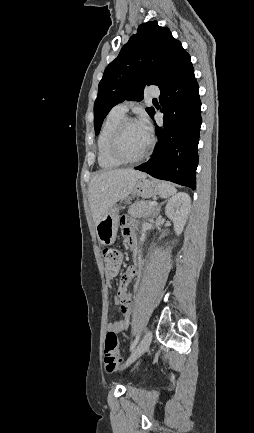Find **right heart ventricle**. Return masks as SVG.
I'll return each mask as SVG.
<instances>
[{
    "mask_svg": "<svg viewBox=\"0 0 254 433\" xmlns=\"http://www.w3.org/2000/svg\"><path fill=\"white\" fill-rule=\"evenodd\" d=\"M123 118L124 114L111 110L103 122L97 140L98 164L102 169L112 170L121 165V163L111 156L109 144L113 131Z\"/></svg>",
    "mask_w": 254,
    "mask_h": 433,
    "instance_id": "obj_1",
    "label": "right heart ventricle"
}]
</instances>
